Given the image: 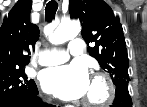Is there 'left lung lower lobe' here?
I'll return each instance as SVG.
<instances>
[{
    "instance_id": "left-lung-lower-lobe-1",
    "label": "left lung lower lobe",
    "mask_w": 147,
    "mask_h": 107,
    "mask_svg": "<svg viewBox=\"0 0 147 107\" xmlns=\"http://www.w3.org/2000/svg\"><path fill=\"white\" fill-rule=\"evenodd\" d=\"M111 107H132V100L128 91V82L116 85V97Z\"/></svg>"
}]
</instances>
